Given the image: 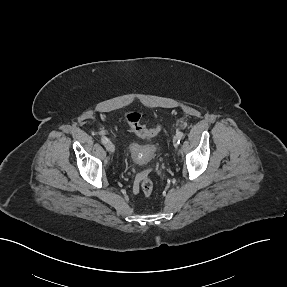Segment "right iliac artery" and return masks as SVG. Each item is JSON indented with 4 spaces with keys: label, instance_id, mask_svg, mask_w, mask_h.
<instances>
[{
    "label": "right iliac artery",
    "instance_id": "1",
    "mask_svg": "<svg viewBox=\"0 0 287 287\" xmlns=\"http://www.w3.org/2000/svg\"><path fill=\"white\" fill-rule=\"evenodd\" d=\"M101 142H102L103 144H106V143L108 142V139H107L106 137H102V138H101Z\"/></svg>",
    "mask_w": 287,
    "mask_h": 287
}]
</instances>
